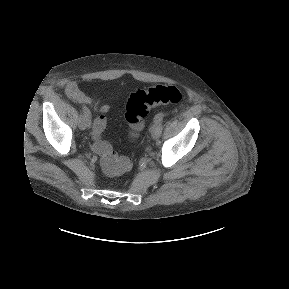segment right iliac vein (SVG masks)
Returning a JSON list of instances; mask_svg holds the SVG:
<instances>
[{"label": "right iliac vein", "instance_id": "right-iliac-vein-1", "mask_svg": "<svg viewBox=\"0 0 289 289\" xmlns=\"http://www.w3.org/2000/svg\"><path fill=\"white\" fill-rule=\"evenodd\" d=\"M78 126L81 130H85L90 126V119L85 117L84 115H80Z\"/></svg>", "mask_w": 289, "mask_h": 289}]
</instances>
